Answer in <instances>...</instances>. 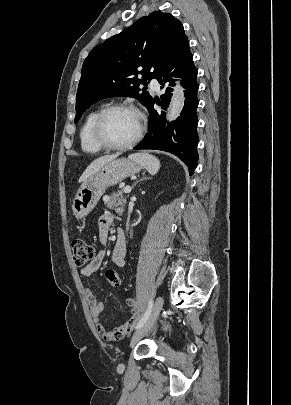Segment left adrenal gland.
Returning a JSON list of instances; mask_svg holds the SVG:
<instances>
[{"label":"left adrenal gland","instance_id":"a2214340","mask_svg":"<svg viewBox=\"0 0 291 405\" xmlns=\"http://www.w3.org/2000/svg\"><path fill=\"white\" fill-rule=\"evenodd\" d=\"M146 179H148V178H147V177H142L140 180H138L137 182H135V184H133V187H132V188H134V186H135L138 182L143 181V180H146Z\"/></svg>","mask_w":291,"mask_h":405}]
</instances>
